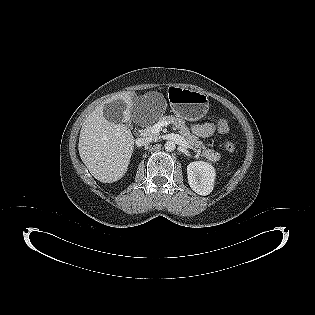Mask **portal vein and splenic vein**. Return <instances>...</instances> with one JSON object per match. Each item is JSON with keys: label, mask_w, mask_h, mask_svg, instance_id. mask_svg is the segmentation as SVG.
Returning a JSON list of instances; mask_svg holds the SVG:
<instances>
[{"label": "portal vein and splenic vein", "mask_w": 315, "mask_h": 315, "mask_svg": "<svg viewBox=\"0 0 315 315\" xmlns=\"http://www.w3.org/2000/svg\"><path fill=\"white\" fill-rule=\"evenodd\" d=\"M168 124L167 121H160L152 126L151 131L152 133L157 134L162 127L167 126Z\"/></svg>", "instance_id": "1"}]
</instances>
